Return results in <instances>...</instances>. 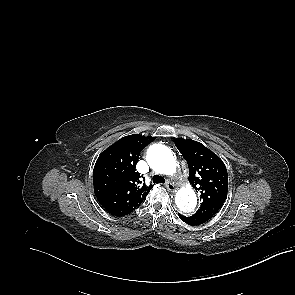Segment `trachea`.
<instances>
[{
	"label": "trachea",
	"instance_id": "trachea-1",
	"mask_svg": "<svg viewBox=\"0 0 295 295\" xmlns=\"http://www.w3.org/2000/svg\"><path fill=\"white\" fill-rule=\"evenodd\" d=\"M152 181H153V183H165L164 177H162L160 175H154L152 177Z\"/></svg>",
	"mask_w": 295,
	"mask_h": 295
}]
</instances>
